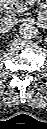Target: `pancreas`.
I'll list each match as a JSON object with an SVG mask.
<instances>
[{
  "mask_svg": "<svg viewBox=\"0 0 47 129\" xmlns=\"http://www.w3.org/2000/svg\"><path fill=\"white\" fill-rule=\"evenodd\" d=\"M18 4L17 12L22 13L28 9L31 0H15Z\"/></svg>",
  "mask_w": 47,
  "mask_h": 129,
  "instance_id": "obj_1",
  "label": "pancreas"
}]
</instances>
